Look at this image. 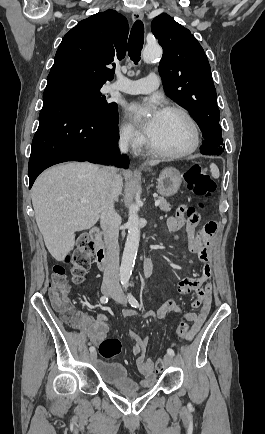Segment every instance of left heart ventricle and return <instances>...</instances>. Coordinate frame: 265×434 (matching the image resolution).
Listing matches in <instances>:
<instances>
[{"label": "left heart ventricle", "mask_w": 265, "mask_h": 434, "mask_svg": "<svg viewBox=\"0 0 265 434\" xmlns=\"http://www.w3.org/2000/svg\"><path fill=\"white\" fill-rule=\"evenodd\" d=\"M192 130L189 122L177 112L162 113L150 142L160 150L178 152L189 146Z\"/></svg>", "instance_id": "obj_1"}]
</instances>
